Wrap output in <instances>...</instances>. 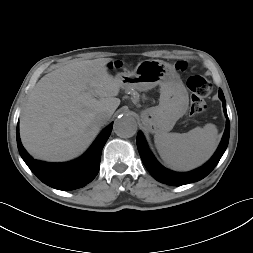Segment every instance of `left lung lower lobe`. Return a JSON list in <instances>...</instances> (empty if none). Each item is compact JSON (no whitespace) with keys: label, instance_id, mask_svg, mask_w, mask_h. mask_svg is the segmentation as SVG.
I'll return each mask as SVG.
<instances>
[{"label":"left lung lower lobe","instance_id":"left-lung-lower-lobe-1","mask_svg":"<svg viewBox=\"0 0 253 253\" xmlns=\"http://www.w3.org/2000/svg\"><path fill=\"white\" fill-rule=\"evenodd\" d=\"M219 98L223 102V110L227 119L226 129H225L223 138L221 140V143L218 149L216 150L215 154L206 164H204L202 167L196 170H193L191 172H186V173H179V172H173L171 170L166 169L155 159V157L149 150L146 144V141L142 135V132L141 131L138 132L137 148H138L139 154L141 156V159L145 167L157 181L167 184V185H173V186H180L184 184L197 182L203 179L204 177H206L218 164L220 158L222 157V155L224 154L228 146L229 134H230V122L227 116L225 98L221 89H219Z\"/></svg>","mask_w":253,"mask_h":253}]
</instances>
